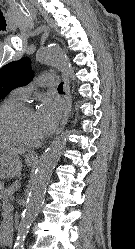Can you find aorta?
<instances>
[{
	"instance_id": "1",
	"label": "aorta",
	"mask_w": 135,
	"mask_h": 249,
	"mask_svg": "<svg viewBox=\"0 0 135 249\" xmlns=\"http://www.w3.org/2000/svg\"><path fill=\"white\" fill-rule=\"evenodd\" d=\"M37 58L42 63L60 68L72 80H75L74 71L61 48L57 46L42 48L37 52ZM66 141V133H62L50 144L39 159L35 172L29 180L27 203L18 226L14 249H24L28 229L41 209L48 181L65 149Z\"/></svg>"
}]
</instances>
